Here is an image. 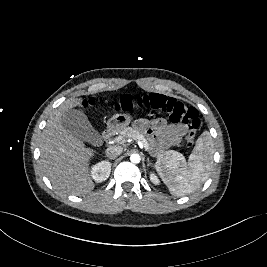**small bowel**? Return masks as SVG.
<instances>
[{
  "label": "small bowel",
  "instance_id": "c3829d8e",
  "mask_svg": "<svg viewBox=\"0 0 267 267\" xmlns=\"http://www.w3.org/2000/svg\"><path fill=\"white\" fill-rule=\"evenodd\" d=\"M138 130L144 132L148 138L161 147L178 145L187 131L183 124H167L163 119H140L135 122Z\"/></svg>",
  "mask_w": 267,
  "mask_h": 267
}]
</instances>
